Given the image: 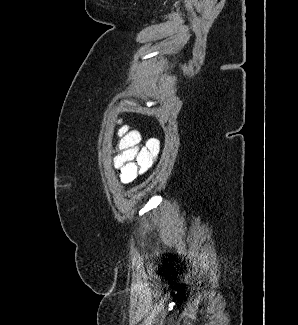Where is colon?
<instances>
[{
    "mask_svg": "<svg viewBox=\"0 0 298 325\" xmlns=\"http://www.w3.org/2000/svg\"><path fill=\"white\" fill-rule=\"evenodd\" d=\"M154 159L149 147L140 146V134L127 127L118 131L113 165L123 183H130L149 170Z\"/></svg>",
    "mask_w": 298,
    "mask_h": 325,
    "instance_id": "obj_1",
    "label": "colon"
}]
</instances>
